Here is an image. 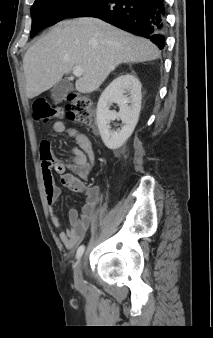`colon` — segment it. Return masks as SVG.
<instances>
[{
    "label": "colon",
    "mask_w": 213,
    "mask_h": 338,
    "mask_svg": "<svg viewBox=\"0 0 213 338\" xmlns=\"http://www.w3.org/2000/svg\"><path fill=\"white\" fill-rule=\"evenodd\" d=\"M67 113L70 119L81 125L92 128L95 125V112L90 99L83 95L72 94L67 98L65 109L52 104L45 97H39L32 104L33 118L38 122H48L55 116Z\"/></svg>",
    "instance_id": "5ec220e1"
}]
</instances>
